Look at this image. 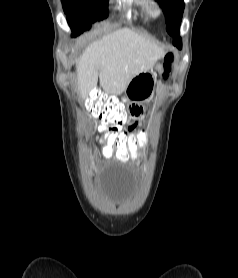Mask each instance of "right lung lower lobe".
Masks as SVG:
<instances>
[{
    "label": "right lung lower lobe",
    "mask_w": 238,
    "mask_h": 278,
    "mask_svg": "<svg viewBox=\"0 0 238 278\" xmlns=\"http://www.w3.org/2000/svg\"><path fill=\"white\" fill-rule=\"evenodd\" d=\"M67 20L68 23L73 31V34L76 35L77 33V28H78V21H79V16L74 14V13H68L67 14Z\"/></svg>",
    "instance_id": "obj_1"
}]
</instances>
